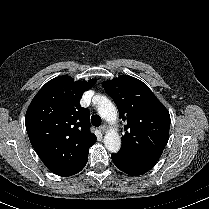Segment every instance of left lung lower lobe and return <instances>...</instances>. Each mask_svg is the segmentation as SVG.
<instances>
[{"label": "left lung lower lobe", "instance_id": "1", "mask_svg": "<svg viewBox=\"0 0 209 209\" xmlns=\"http://www.w3.org/2000/svg\"><path fill=\"white\" fill-rule=\"evenodd\" d=\"M111 158L118 169L133 176L148 172L158 161L120 152L116 155H111Z\"/></svg>", "mask_w": 209, "mask_h": 209}]
</instances>
